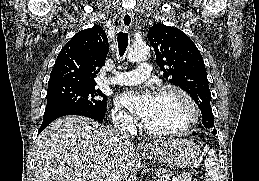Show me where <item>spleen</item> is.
Segmentation results:
<instances>
[{"mask_svg": "<svg viewBox=\"0 0 259 181\" xmlns=\"http://www.w3.org/2000/svg\"><path fill=\"white\" fill-rule=\"evenodd\" d=\"M205 181L220 180V162L214 150H210L205 159Z\"/></svg>", "mask_w": 259, "mask_h": 181, "instance_id": "3e777b00", "label": "spleen"}]
</instances>
